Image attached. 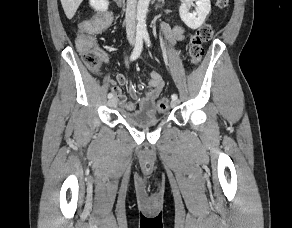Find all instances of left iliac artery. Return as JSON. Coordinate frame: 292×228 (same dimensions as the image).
Returning a JSON list of instances; mask_svg holds the SVG:
<instances>
[{"instance_id": "1", "label": "left iliac artery", "mask_w": 292, "mask_h": 228, "mask_svg": "<svg viewBox=\"0 0 292 228\" xmlns=\"http://www.w3.org/2000/svg\"><path fill=\"white\" fill-rule=\"evenodd\" d=\"M143 38H144L146 44H147L148 46H151V41H150L149 34H148V33H144V34H143ZM171 98H172L173 100H177V99H178V96H177V94H172V95H171Z\"/></svg>"}]
</instances>
